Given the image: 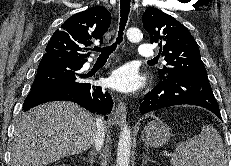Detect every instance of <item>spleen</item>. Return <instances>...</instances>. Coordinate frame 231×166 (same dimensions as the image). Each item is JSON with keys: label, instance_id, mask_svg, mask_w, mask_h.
<instances>
[{"label": "spleen", "instance_id": "3e777b00", "mask_svg": "<svg viewBox=\"0 0 231 166\" xmlns=\"http://www.w3.org/2000/svg\"><path fill=\"white\" fill-rule=\"evenodd\" d=\"M169 156L173 166H228L221 135L212 125H204L199 135L178 143Z\"/></svg>", "mask_w": 231, "mask_h": 166}]
</instances>
